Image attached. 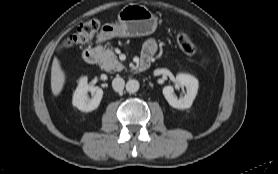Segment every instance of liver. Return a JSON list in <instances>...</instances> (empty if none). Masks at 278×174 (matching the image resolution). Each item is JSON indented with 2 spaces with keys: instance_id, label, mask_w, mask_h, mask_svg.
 I'll use <instances>...</instances> for the list:
<instances>
[{
  "instance_id": "obj_1",
  "label": "liver",
  "mask_w": 278,
  "mask_h": 174,
  "mask_svg": "<svg viewBox=\"0 0 278 174\" xmlns=\"http://www.w3.org/2000/svg\"><path fill=\"white\" fill-rule=\"evenodd\" d=\"M65 84V73L61 68L60 61L54 57L51 67V90L54 96H58Z\"/></svg>"
}]
</instances>
